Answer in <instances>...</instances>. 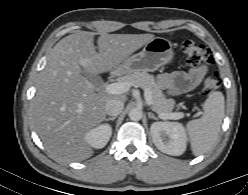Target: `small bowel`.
I'll list each match as a JSON object with an SVG mask.
<instances>
[{
  "instance_id": "obj_1",
  "label": "small bowel",
  "mask_w": 248,
  "mask_h": 195,
  "mask_svg": "<svg viewBox=\"0 0 248 195\" xmlns=\"http://www.w3.org/2000/svg\"><path fill=\"white\" fill-rule=\"evenodd\" d=\"M206 73L205 67L189 71H176L159 77V84L172 95H181L193 90L200 84Z\"/></svg>"
}]
</instances>
